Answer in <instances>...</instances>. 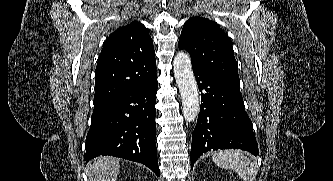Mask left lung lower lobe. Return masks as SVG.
I'll return each instance as SVG.
<instances>
[{"label": "left lung lower lobe", "instance_id": "obj_1", "mask_svg": "<svg viewBox=\"0 0 333 181\" xmlns=\"http://www.w3.org/2000/svg\"><path fill=\"white\" fill-rule=\"evenodd\" d=\"M193 72L201 91V109L192 134L191 168L211 150L233 148L259 155L240 89L199 69Z\"/></svg>", "mask_w": 333, "mask_h": 181}]
</instances>
